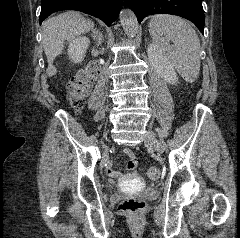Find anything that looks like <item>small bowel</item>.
<instances>
[{"mask_svg": "<svg viewBox=\"0 0 240 238\" xmlns=\"http://www.w3.org/2000/svg\"><path fill=\"white\" fill-rule=\"evenodd\" d=\"M128 146V145H127ZM121 147L123 148L121 150V153L123 155L129 156V159L126 160V168L128 167V171H131V174H138V165H139V157L135 156V151H130L129 149L125 148L126 144L122 143ZM107 169L109 175H122L124 172L122 170H110L112 169V164L109 162L107 164ZM110 184H117V179H110Z\"/></svg>", "mask_w": 240, "mask_h": 238, "instance_id": "small-bowel-1", "label": "small bowel"}]
</instances>
